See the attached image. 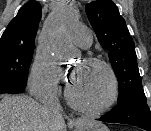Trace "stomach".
Instances as JSON below:
<instances>
[{
    "label": "stomach",
    "instance_id": "obj_1",
    "mask_svg": "<svg viewBox=\"0 0 151 131\" xmlns=\"http://www.w3.org/2000/svg\"><path fill=\"white\" fill-rule=\"evenodd\" d=\"M75 131H109L108 127L95 120L83 119L74 124Z\"/></svg>",
    "mask_w": 151,
    "mask_h": 131
}]
</instances>
